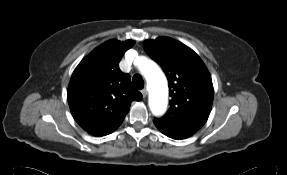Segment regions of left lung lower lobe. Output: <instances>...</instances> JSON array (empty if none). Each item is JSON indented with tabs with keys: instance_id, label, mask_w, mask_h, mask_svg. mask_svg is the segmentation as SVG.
I'll use <instances>...</instances> for the list:
<instances>
[{
	"instance_id": "obj_1",
	"label": "left lung lower lobe",
	"mask_w": 287,
	"mask_h": 175,
	"mask_svg": "<svg viewBox=\"0 0 287 175\" xmlns=\"http://www.w3.org/2000/svg\"><path fill=\"white\" fill-rule=\"evenodd\" d=\"M156 127H157L163 134H165V135L168 136V137H171V138H173V139H183V138H181V137H178V136L174 135L173 133H171V132H169V131H167V130H164V129L158 127V126H156Z\"/></svg>"
}]
</instances>
